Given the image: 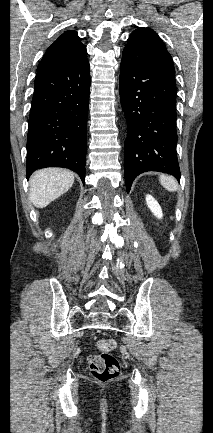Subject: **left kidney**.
<instances>
[{
    "instance_id": "5707ae66",
    "label": "left kidney",
    "mask_w": 213,
    "mask_h": 433,
    "mask_svg": "<svg viewBox=\"0 0 213 433\" xmlns=\"http://www.w3.org/2000/svg\"><path fill=\"white\" fill-rule=\"evenodd\" d=\"M146 203L148 208L154 214L155 217L161 219L163 216L162 209L158 202L151 195H146Z\"/></svg>"
}]
</instances>
